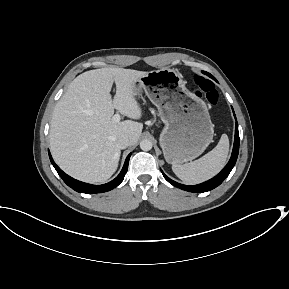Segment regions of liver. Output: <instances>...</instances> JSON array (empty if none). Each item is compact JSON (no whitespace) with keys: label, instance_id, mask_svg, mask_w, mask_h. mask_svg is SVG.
I'll return each instance as SVG.
<instances>
[{"label":"liver","instance_id":"liver-1","mask_svg":"<svg viewBox=\"0 0 289 289\" xmlns=\"http://www.w3.org/2000/svg\"><path fill=\"white\" fill-rule=\"evenodd\" d=\"M147 73L108 67L86 71L70 83L55 105L49 135L52 156L63 171L88 183L104 182L114 174L121 155L117 139L126 136L134 145L143 129L132 120L113 122L114 110L141 118L134 84Z\"/></svg>","mask_w":289,"mask_h":289}]
</instances>
